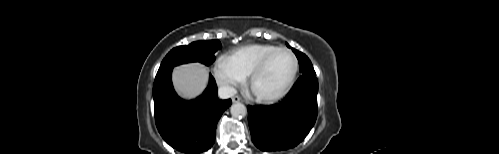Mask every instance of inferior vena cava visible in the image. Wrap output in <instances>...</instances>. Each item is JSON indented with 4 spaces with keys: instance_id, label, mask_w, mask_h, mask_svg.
<instances>
[{
    "instance_id": "1",
    "label": "inferior vena cava",
    "mask_w": 499,
    "mask_h": 154,
    "mask_svg": "<svg viewBox=\"0 0 499 154\" xmlns=\"http://www.w3.org/2000/svg\"><path fill=\"white\" fill-rule=\"evenodd\" d=\"M237 93L236 89L233 86L223 85L218 89V96L221 99H228L233 97Z\"/></svg>"
}]
</instances>
